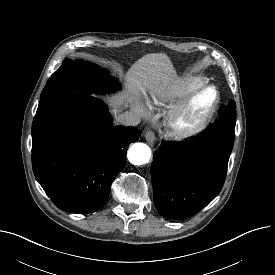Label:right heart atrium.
I'll return each mask as SVG.
<instances>
[{"mask_svg":"<svg viewBox=\"0 0 275 275\" xmlns=\"http://www.w3.org/2000/svg\"><path fill=\"white\" fill-rule=\"evenodd\" d=\"M134 110L140 114H143V115L146 113L144 106L142 104H140L139 102L134 103Z\"/></svg>","mask_w":275,"mask_h":275,"instance_id":"obj_1","label":"right heart atrium"}]
</instances>
